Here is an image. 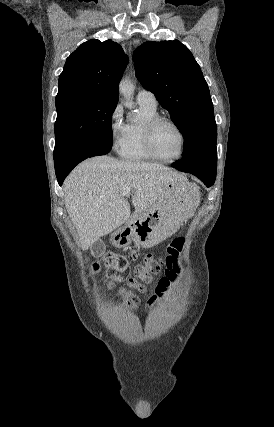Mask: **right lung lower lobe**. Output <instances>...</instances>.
<instances>
[{
  "label": "right lung lower lobe",
  "mask_w": 274,
  "mask_h": 427,
  "mask_svg": "<svg viewBox=\"0 0 274 427\" xmlns=\"http://www.w3.org/2000/svg\"><path fill=\"white\" fill-rule=\"evenodd\" d=\"M112 148L111 146H96L93 147L91 149H89L88 151H86L85 153L77 156L76 158H74L72 161H70L68 164H66L65 166H62L60 168H55L56 170V177L58 180V184L61 186L64 179L66 178V176L70 173V171L81 161H83L84 159L88 158V157H93V156H98V155H105L107 154Z\"/></svg>",
  "instance_id": "1"
}]
</instances>
